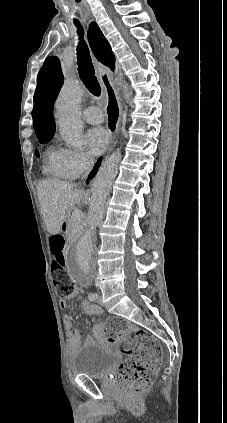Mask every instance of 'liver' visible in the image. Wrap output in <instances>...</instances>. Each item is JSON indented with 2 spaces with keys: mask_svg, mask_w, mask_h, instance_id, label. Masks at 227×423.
<instances>
[{
  "mask_svg": "<svg viewBox=\"0 0 227 423\" xmlns=\"http://www.w3.org/2000/svg\"><path fill=\"white\" fill-rule=\"evenodd\" d=\"M38 200L49 233H59L66 215L75 204L86 202L87 192L73 190L69 182L43 180L37 184Z\"/></svg>",
  "mask_w": 227,
  "mask_h": 423,
  "instance_id": "6515ba94",
  "label": "liver"
}]
</instances>
